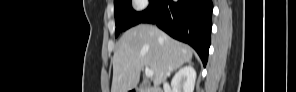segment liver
I'll list each match as a JSON object with an SVG mask.
<instances>
[{
	"mask_svg": "<svg viewBox=\"0 0 296 92\" xmlns=\"http://www.w3.org/2000/svg\"><path fill=\"white\" fill-rule=\"evenodd\" d=\"M193 52L190 46L155 26L137 25L118 41L113 56L111 92H129L135 88L144 66L153 70L154 87L158 88L171 71L191 61Z\"/></svg>",
	"mask_w": 296,
	"mask_h": 92,
	"instance_id": "obj_1",
	"label": "liver"
}]
</instances>
